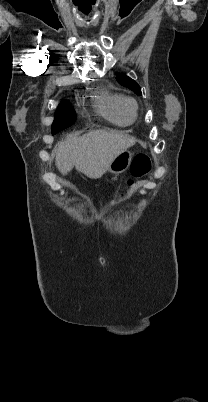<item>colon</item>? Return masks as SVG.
Segmentation results:
<instances>
[{"label":"colon","instance_id":"5ec220e1","mask_svg":"<svg viewBox=\"0 0 208 402\" xmlns=\"http://www.w3.org/2000/svg\"><path fill=\"white\" fill-rule=\"evenodd\" d=\"M152 170V162L148 153H139L131 163L130 176L127 179L128 188L136 185V180L147 176Z\"/></svg>","mask_w":208,"mask_h":402}]
</instances>
